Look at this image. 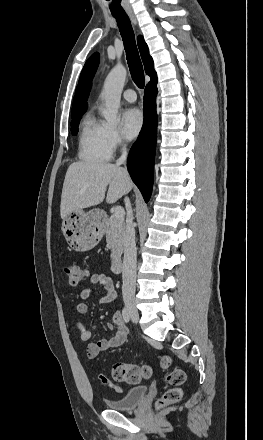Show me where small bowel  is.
Listing matches in <instances>:
<instances>
[{
	"instance_id": "small-bowel-1",
	"label": "small bowel",
	"mask_w": 263,
	"mask_h": 440,
	"mask_svg": "<svg viewBox=\"0 0 263 440\" xmlns=\"http://www.w3.org/2000/svg\"><path fill=\"white\" fill-rule=\"evenodd\" d=\"M99 285L101 288V294L99 301L101 303H112L116 299V291L112 278L109 275L95 273L89 276L88 285L80 292V301L76 304V311L79 314H86L89 310L86 300L93 292L94 286ZM110 329H115V333L110 339H99L94 342L88 343L86 347V354L88 358H95L101 352L111 348L121 346L127 338V327L124 324L123 315L120 311H115L112 314L111 322L108 324ZM80 339L82 341H89L92 337L94 328L85 326L82 322L77 323Z\"/></svg>"
}]
</instances>
